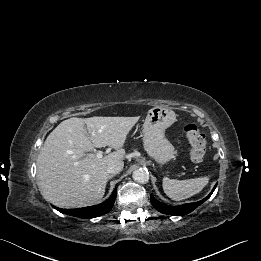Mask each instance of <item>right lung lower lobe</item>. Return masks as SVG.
I'll use <instances>...</instances> for the list:
<instances>
[{"instance_id": "1", "label": "right lung lower lobe", "mask_w": 261, "mask_h": 261, "mask_svg": "<svg viewBox=\"0 0 261 261\" xmlns=\"http://www.w3.org/2000/svg\"><path fill=\"white\" fill-rule=\"evenodd\" d=\"M116 194H117V189L115 188L112 195L109 197V199H107L101 204L90 206V207L77 208V209H59L56 207L54 208H56L61 213L67 215H71L79 218H86V219L94 218V217L104 215L111 210V208L114 205Z\"/></svg>"}]
</instances>
